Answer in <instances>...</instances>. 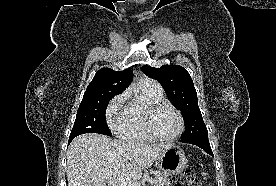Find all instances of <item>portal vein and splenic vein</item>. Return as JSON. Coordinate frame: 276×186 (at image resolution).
Listing matches in <instances>:
<instances>
[{
  "mask_svg": "<svg viewBox=\"0 0 276 186\" xmlns=\"http://www.w3.org/2000/svg\"><path fill=\"white\" fill-rule=\"evenodd\" d=\"M109 186H140L139 183L133 181H120L118 179L110 181Z\"/></svg>",
  "mask_w": 276,
  "mask_h": 186,
  "instance_id": "18ae733b",
  "label": "portal vein and splenic vein"
}]
</instances>
